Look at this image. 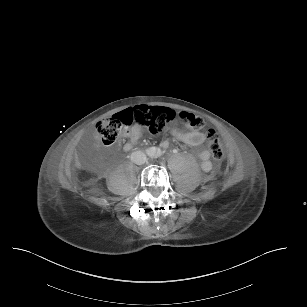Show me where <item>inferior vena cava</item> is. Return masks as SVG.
I'll list each match as a JSON object with an SVG mask.
<instances>
[{
  "label": "inferior vena cava",
  "mask_w": 307,
  "mask_h": 307,
  "mask_svg": "<svg viewBox=\"0 0 307 307\" xmlns=\"http://www.w3.org/2000/svg\"><path fill=\"white\" fill-rule=\"evenodd\" d=\"M131 161L137 165H143L146 162V155L141 151H135L131 154Z\"/></svg>",
  "instance_id": "602c4592"
}]
</instances>
